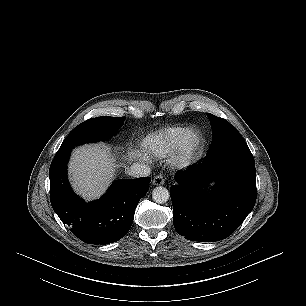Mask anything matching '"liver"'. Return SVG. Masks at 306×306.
Segmentation results:
<instances>
[{"mask_svg":"<svg viewBox=\"0 0 306 306\" xmlns=\"http://www.w3.org/2000/svg\"><path fill=\"white\" fill-rule=\"evenodd\" d=\"M131 154L133 156L135 153ZM115 167L109 148L105 145L76 148L69 165L72 185L79 194L88 199L98 197L114 178Z\"/></svg>","mask_w":306,"mask_h":306,"instance_id":"6515ba94","label":"liver"}]
</instances>
